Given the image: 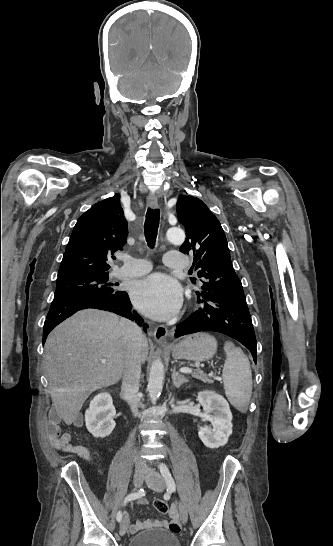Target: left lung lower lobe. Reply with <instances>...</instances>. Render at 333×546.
Here are the masks:
<instances>
[{
	"label": "left lung lower lobe",
	"mask_w": 333,
	"mask_h": 546,
	"mask_svg": "<svg viewBox=\"0 0 333 546\" xmlns=\"http://www.w3.org/2000/svg\"><path fill=\"white\" fill-rule=\"evenodd\" d=\"M200 306L177 325L175 337L202 331L226 334L242 343L257 360V342L245 296L221 297L197 293Z\"/></svg>",
	"instance_id": "0a47b994"
}]
</instances>
